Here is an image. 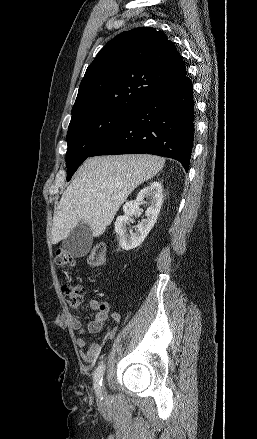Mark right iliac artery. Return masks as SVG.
Instances as JSON below:
<instances>
[{"label":"right iliac artery","mask_w":257,"mask_h":439,"mask_svg":"<svg viewBox=\"0 0 257 439\" xmlns=\"http://www.w3.org/2000/svg\"><path fill=\"white\" fill-rule=\"evenodd\" d=\"M104 371H105V365L100 364L94 373V389H95L97 395H99V396H101V386H102ZM101 399H102V397H101Z\"/></svg>","instance_id":"right-iliac-artery-1"}]
</instances>
